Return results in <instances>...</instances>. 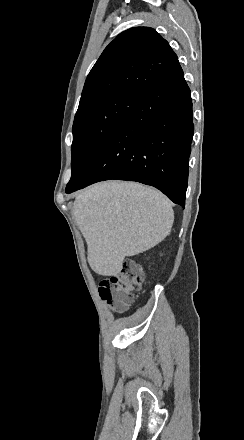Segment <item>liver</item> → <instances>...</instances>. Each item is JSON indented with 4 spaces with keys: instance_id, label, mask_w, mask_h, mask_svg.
<instances>
[{
    "instance_id": "obj_1",
    "label": "liver",
    "mask_w": 244,
    "mask_h": 440,
    "mask_svg": "<svg viewBox=\"0 0 244 440\" xmlns=\"http://www.w3.org/2000/svg\"><path fill=\"white\" fill-rule=\"evenodd\" d=\"M73 214L87 242L88 264L99 276H118L126 256L160 244L174 222L164 194L138 182L115 180L80 192Z\"/></svg>"
}]
</instances>
